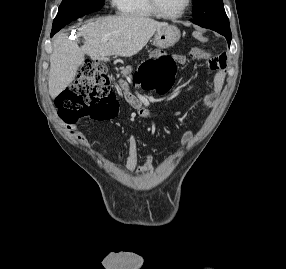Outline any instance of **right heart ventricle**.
<instances>
[{
	"mask_svg": "<svg viewBox=\"0 0 286 269\" xmlns=\"http://www.w3.org/2000/svg\"><path fill=\"white\" fill-rule=\"evenodd\" d=\"M117 11L130 18L146 19L156 15L150 9L147 0H114Z\"/></svg>",
	"mask_w": 286,
	"mask_h": 269,
	"instance_id": "e07e8e85",
	"label": "right heart ventricle"
}]
</instances>
